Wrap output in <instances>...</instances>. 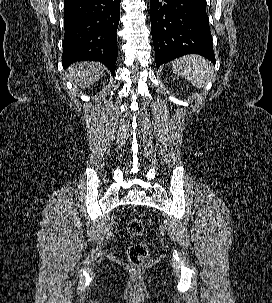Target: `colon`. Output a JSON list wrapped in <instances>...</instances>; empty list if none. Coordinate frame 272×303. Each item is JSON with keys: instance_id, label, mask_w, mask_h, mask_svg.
<instances>
[{"instance_id": "obj_1", "label": "colon", "mask_w": 272, "mask_h": 303, "mask_svg": "<svg viewBox=\"0 0 272 303\" xmlns=\"http://www.w3.org/2000/svg\"><path fill=\"white\" fill-rule=\"evenodd\" d=\"M128 234L138 241L132 243L127 251L129 262L139 267L141 266L149 255V246L144 239L145 236V226L140 218H132L127 223Z\"/></svg>"}]
</instances>
